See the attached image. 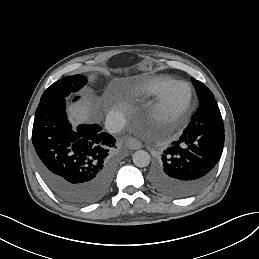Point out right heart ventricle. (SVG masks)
<instances>
[{
	"mask_svg": "<svg viewBox=\"0 0 259 259\" xmlns=\"http://www.w3.org/2000/svg\"><path fill=\"white\" fill-rule=\"evenodd\" d=\"M143 84L139 82L136 76L130 78L124 87V95L131 103L135 104L139 99V94L143 89Z\"/></svg>",
	"mask_w": 259,
	"mask_h": 259,
	"instance_id": "e07e8e85",
	"label": "right heart ventricle"
}]
</instances>
